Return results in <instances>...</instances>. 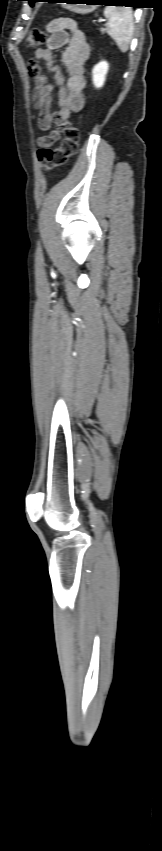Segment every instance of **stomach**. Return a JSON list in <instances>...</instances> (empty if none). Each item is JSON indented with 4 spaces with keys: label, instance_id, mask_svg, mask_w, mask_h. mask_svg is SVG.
<instances>
[{
    "label": "stomach",
    "instance_id": "obj_1",
    "mask_svg": "<svg viewBox=\"0 0 162 851\" xmlns=\"http://www.w3.org/2000/svg\"><path fill=\"white\" fill-rule=\"evenodd\" d=\"M62 2H66L62 3L64 8L76 13L85 14L92 12L97 6L91 4H96L99 0H64Z\"/></svg>",
    "mask_w": 162,
    "mask_h": 851
}]
</instances>
